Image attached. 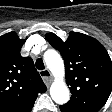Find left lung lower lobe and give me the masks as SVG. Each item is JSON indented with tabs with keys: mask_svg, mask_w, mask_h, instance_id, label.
Segmentation results:
<instances>
[{
	"mask_svg": "<svg viewBox=\"0 0 112 112\" xmlns=\"http://www.w3.org/2000/svg\"><path fill=\"white\" fill-rule=\"evenodd\" d=\"M60 110H61V112H70V111H68V110H66V109H63V108H61V107H60Z\"/></svg>",
	"mask_w": 112,
	"mask_h": 112,
	"instance_id": "obj_1",
	"label": "left lung lower lobe"
}]
</instances>
